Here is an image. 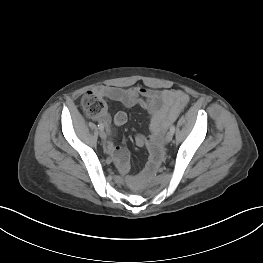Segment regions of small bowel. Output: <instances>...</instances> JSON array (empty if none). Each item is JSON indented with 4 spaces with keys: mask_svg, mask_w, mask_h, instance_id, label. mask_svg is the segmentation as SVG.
<instances>
[{
    "mask_svg": "<svg viewBox=\"0 0 263 263\" xmlns=\"http://www.w3.org/2000/svg\"><path fill=\"white\" fill-rule=\"evenodd\" d=\"M92 92L101 98L117 101L125 107L139 105L145 109L150 117V134L138 135L135 138V143L139 147L147 146L152 151H156L163 133L170 123L176 120L189 101V96L181 90H156L140 86L130 88L99 86ZM100 122L109 128L110 117L108 114L104 113L100 117ZM126 122L127 114L124 111L115 113L113 117L114 125L122 126ZM104 148L114 159L119 171L123 175L128 176L130 164L127 150L115 145L111 135L105 142ZM128 180L134 182L137 180V177L128 176Z\"/></svg>",
    "mask_w": 263,
    "mask_h": 263,
    "instance_id": "c3829d8e",
    "label": "small bowel"
}]
</instances>
